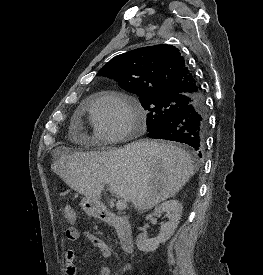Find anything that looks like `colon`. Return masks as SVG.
I'll return each instance as SVG.
<instances>
[{
  "label": "colon",
  "instance_id": "colon-1",
  "mask_svg": "<svg viewBox=\"0 0 263 275\" xmlns=\"http://www.w3.org/2000/svg\"><path fill=\"white\" fill-rule=\"evenodd\" d=\"M62 213H63L65 220L69 223H73L77 219L76 211L70 205H65L62 208Z\"/></svg>",
  "mask_w": 263,
  "mask_h": 275
}]
</instances>
